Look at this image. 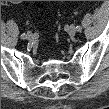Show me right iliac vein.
I'll use <instances>...</instances> for the list:
<instances>
[{"mask_svg":"<svg viewBox=\"0 0 109 109\" xmlns=\"http://www.w3.org/2000/svg\"><path fill=\"white\" fill-rule=\"evenodd\" d=\"M25 38H26L27 40H31V39L33 38V34H32L31 32H27V33L25 34Z\"/></svg>","mask_w":109,"mask_h":109,"instance_id":"right-iliac-vein-1","label":"right iliac vein"}]
</instances>
